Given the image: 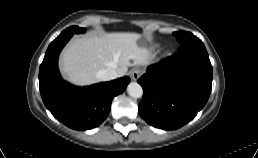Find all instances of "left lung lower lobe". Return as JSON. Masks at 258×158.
Returning <instances> with one entry per match:
<instances>
[{"label":"left lung lower lobe","instance_id":"obj_1","mask_svg":"<svg viewBox=\"0 0 258 158\" xmlns=\"http://www.w3.org/2000/svg\"><path fill=\"white\" fill-rule=\"evenodd\" d=\"M138 82L144 91L138 108L148 124L173 130L188 123L211 93L212 66L203 42L182 44L176 55L148 67Z\"/></svg>","mask_w":258,"mask_h":158}]
</instances>
